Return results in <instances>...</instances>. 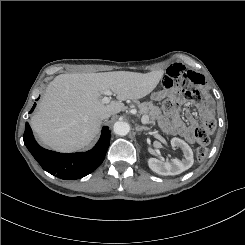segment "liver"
<instances>
[{
    "label": "liver",
    "mask_w": 245,
    "mask_h": 245,
    "mask_svg": "<svg viewBox=\"0 0 245 245\" xmlns=\"http://www.w3.org/2000/svg\"><path fill=\"white\" fill-rule=\"evenodd\" d=\"M163 74V70L61 74L47 86L31 126L40 141L51 149L77 151L99 133L103 114H117L125 109L122 101L148 95ZM105 90L116 95L118 101L104 104L100 97Z\"/></svg>",
    "instance_id": "6515ba94"
}]
</instances>
